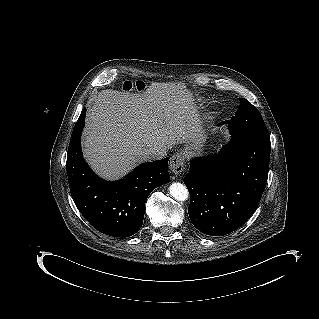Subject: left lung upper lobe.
I'll list each match as a JSON object with an SVG mask.
<instances>
[{
    "label": "left lung upper lobe",
    "instance_id": "obj_1",
    "mask_svg": "<svg viewBox=\"0 0 319 319\" xmlns=\"http://www.w3.org/2000/svg\"><path fill=\"white\" fill-rule=\"evenodd\" d=\"M233 135L239 136H269L260 112L246 99H240V106L230 121ZM225 123V122H224Z\"/></svg>",
    "mask_w": 319,
    "mask_h": 319
}]
</instances>
